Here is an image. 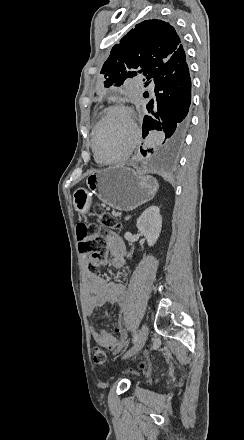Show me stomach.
Listing matches in <instances>:
<instances>
[{
  "label": "stomach",
  "instance_id": "1",
  "mask_svg": "<svg viewBox=\"0 0 244 440\" xmlns=\"http://www.w3.org/2000/svg\"><path fill=\"white\" fill-rule=\"evenodd\" d=\"M86 184L87 188H77L73 194V206L79 216L88 214L92 196H98L110 208L130 212L153 200L159 188L157 180L148 176L145 170L127 166L97 170L89 174Z\"/></svg>",
  "mask_w": 244,
  "mask_h": 440
}]
</instances>
